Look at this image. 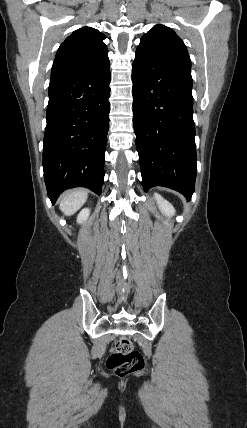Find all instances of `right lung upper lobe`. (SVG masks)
Listing matches in <instances>:
<instances>
[{
  "instance_id": "cb5924a9",
  "label": "right lung upper lobe",
  "mask_w": 247,
  "mask_h": 428,
  "mask_svg": "<svg viewBox=\"0 0 247 428\" xmlns=\"http://www.w3.org/2000/svg\"><path fill=\"white\" fill-rule=\"evenodd\" d=\"M106 36L90 27L74 31L59 47L51 72V78L86 70L108 55L103 43Z\"/></svg>"
}]
</instances>
